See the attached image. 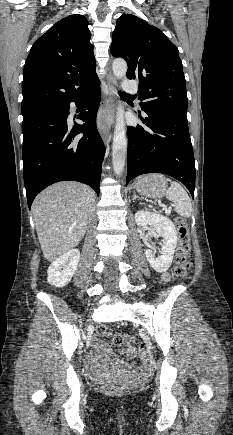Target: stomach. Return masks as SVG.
Returning a JSON list of instances; mask_svg holds the SVG:
<instances>
[{
    "instance_id": "stomach-1",
    "label": "stomach",
    "mask_w": 233,
    "mask_h": 435,
    "mask_svg": "<svg viewBox=\"0 0 233 435\" xmlns=\"http://www.w3.org/2000/svg\"><path fill=\"white\" fill-rule=\"evenodd\" d=\"M138 193L149 198H162L167 192V179L161 174H149L135 183Z\"/></svg>"
}]
</instances>
